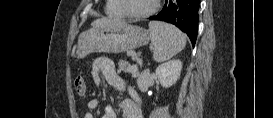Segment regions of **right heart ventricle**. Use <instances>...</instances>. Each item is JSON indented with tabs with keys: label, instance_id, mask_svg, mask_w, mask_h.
<instances>
[{
	"label": "right heart ventricle",
	"instance_id": "1",
	"mask_svg": "<svg viewBox=\"0 0 273 118\" xmlns=\"http://www.w3.org/2000/svg\"><path fill=\"white\" fill-rule=\"evenodd\" d=\"M105 12L109 16H114V17L125 16V13L120 6L119 0H107V4L105 6Z\"/></svg>",
	"mask_w": 273,
	"mask_h": 118
}]
</instances>
